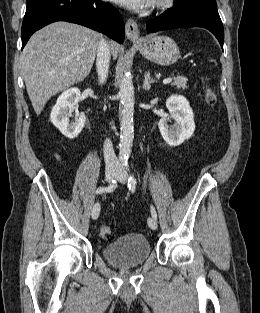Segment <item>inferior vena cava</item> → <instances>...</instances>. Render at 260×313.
I'll return each mask as SVG.
<instances>
[{
	"mask_svg": "<svg viewBox=\"0 0 260 313\" xmlns=\"http://www.w3.org/2000/svg\"><path fill=\"white\" fill-rule=\"evenodd\" d=\"M110 49L105 39H101L97 49L96 69L100 83H104L109 69ZM104 159L106 167H117L119 161L115 155L113 144L109 139H106L103 146Z\"/></svg>",
	"mask_w": 260,
	"mask_h": 313,
	"instance_id": "602c4592",
	"label": "inferior vena cava"
}]
</instances>
